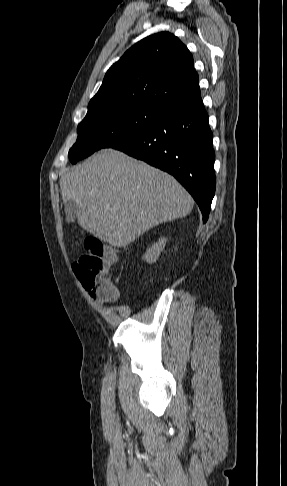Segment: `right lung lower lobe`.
<instances>
[{
  "instance_id": "1",
  "label": "right lung lower lobe",
  "mask_w": 287,
  "mask_h": 486,
  "mask_svg": "<svg viewBox=\"0 0 287 486\" xmlns=\"http://www.w3.org/2000/svg\"><path fill=\"white\" fill-rule=\"evenodd\" d=\"M212 139L199 95L168 109L142 133L112 148L173 175L193 196L206 222L216 185Z\"/></svg>"
}]
</instances>
